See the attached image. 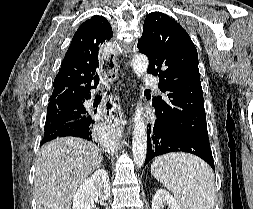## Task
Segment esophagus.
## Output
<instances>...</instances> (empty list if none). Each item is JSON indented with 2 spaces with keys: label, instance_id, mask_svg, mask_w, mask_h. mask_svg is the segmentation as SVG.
Here are the masks:
<instances>
[{
  "label": "esophagus",
  "instance_id": "1",
  "mask_svg": "<svg viewBox=\"0 0 253 209\" xmlns=\"http://www.w3.org/2000/svg\"><path fill=\"white\" fill-rule=\"evenodd\" d=\"M105 117L112 126H121L123 122V113L119 101L111 102L110 106L106 107Z\"/></svg>",
  "mask_w": 253,
  "mask_h": 209
}]
</instances>
